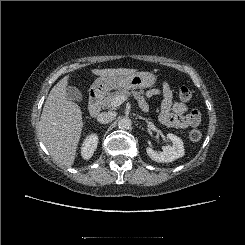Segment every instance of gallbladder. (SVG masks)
Here are the masks:
<instances>
[{"mask_svg":"<svg viewBox=\"0 0 245 245\" xmlns=\"http://www.w3.org/2000/svg\"><path fill=\"white\" fill-rule=\"evenodd\" d=\"M66 98L75 102H82V92L75 86H68L66 88Z\"/></svg>","mask_w":245,"mask_h":245,"instance_id":"1","label":"gallbladder"}]
</instances>
